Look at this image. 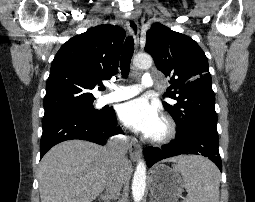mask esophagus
Returning <instances> with one entry per match:
<instances>
[{"label": "esophagus", "mask_w": 255, "mask_h": 202, "mask_svg": "<svg viewBox=\"0 0 255 202\" xmlns=\"http://www.w3.org/2000/svg\"><path fill=\"white\" fill-rule=\"evenodd\" d=\"M126 26H127V30L129 32V34L134 39L135 46H137L138 41H139V25H138L137 20L134 17L128 18ZM129 153H130L131 158L134 161H137L140 159V157L142 155V149L138 145L130 144Z\"/></svg>", "instance_id": "34e87169"}]
</instances>
